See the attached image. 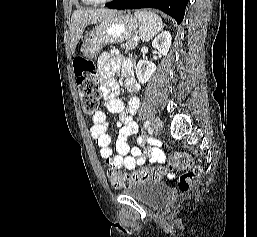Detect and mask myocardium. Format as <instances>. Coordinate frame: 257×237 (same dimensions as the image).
Wrapping results in <instances>:
<instances>
[{
  "label": "myocardium",
  "mask_w": 257,
  "mask_h": 237,
  "mask_svg": "<svg viewBox=\"0 0 257 237\" xmlns=\"http://www.w3.org/2000/svg\"><path fill=\"white\" fill-rule=\"evenodd\" d=\"M112 1H115V0H89L91 4H95V5H102Z\"/></svg>",
  "instance_id": "myocardium-1"
}]
</instances>
